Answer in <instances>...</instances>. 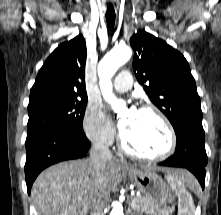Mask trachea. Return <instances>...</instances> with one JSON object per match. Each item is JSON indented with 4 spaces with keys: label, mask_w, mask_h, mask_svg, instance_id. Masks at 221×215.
Returning a JSON list of instances; mask_svg holds the SVG:
<instances>
[{
    "label": "trachea",
    "mask_w": 221,
    "mask_h": 215,
    "mask_svg": "<svg viewBox=\"0 0 221 215\" xmlns=\"http://www.w3.org/2000/svg\"><path fill=\"white\" fill-rule=\"evenodd\" d=\"M106 21L109 28L112 29L115 24V10L112 4L107 5Z\"/></svg>",
    "instance_id": "1"
}]
</instances>
